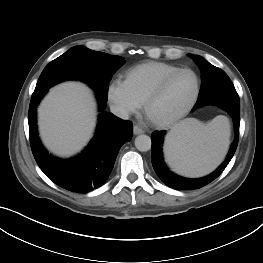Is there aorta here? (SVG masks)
Listing matches in <instances>:
<instances>
[{"label":"aorta","mask_w":263,"mask_h":263,"mask_svg":"<svg viewBox=\"0 0 263 263\" xmlns=\"http://www.w3.org/2000/svg\"><path fill=\"white\" fill-rule=\"evenodd\" d=\"M151 138L147 135H139L135 138V147L142 152L148 151L151 149Z\"/></svg>","instance_id":"1"}]
</instances>
